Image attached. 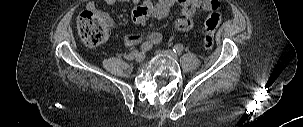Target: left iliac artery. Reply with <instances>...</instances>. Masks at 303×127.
<instances>
[{
    "label": "left iliac artery",
    "instance_id": "obj_1",
    "mask_svg": "<svg viewBox=\"0 0 303 127\" xmlns=\"http://www.w3.org/2000/svg\"><path fill=\"white\" fill-rule=\"evenodd\" d=\"M184 47L181 44H177L173 47V51L180 54L183 51Z\"/></svg>",
    "mask_w": 303,
    "mask_h": 127
}]
</instances>
